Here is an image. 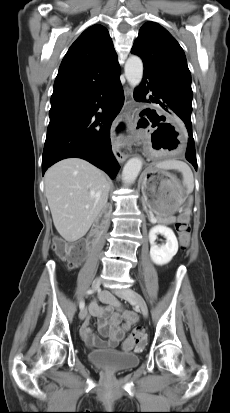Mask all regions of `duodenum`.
I'll return each instance as SVG.
<instances>
[{"label": "duodenum", "instance_id": "410a0bca", "mask_svg": "<svg viewBox=\"0 0 230 413\" xmlns=\"http://www.w3.org/2000/svg\"><path fill=\"white\" fill-rule=\"evenodd\" d=\"M102 220H103V218H100V219L98 220L97 225H100V224H101V222H102ZM92 236H94V234H93Z\"/></svg>", "mask_w": 230, "mask_h": 413}]
</instances>
